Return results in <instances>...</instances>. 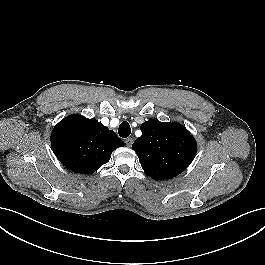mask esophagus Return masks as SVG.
I'll list each match as a JSON object with an SVG mask.
<instances>
[{"label":"esophagus","instance_id":"obj_1","mask_svg":"<svg viewBox=\"0 0 265 265\" xmlns=\"http://www.w3.org/2000/svg\"><path fill=\"white\" fill-rule=\"evenodd\" d=\"M125 144L127 147H131L133 144V138H126L125 139Z\"/></svg>","mask_w":265,"mask_h":265}]
</instances>
